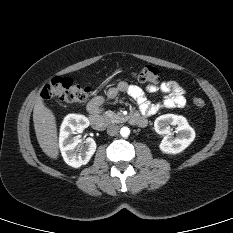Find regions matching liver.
<instances>
[{"instance_id": "1", "label": "liver", "mask_w": 233, "mask_h": 233, "mask_svg": "<svg viewBox=\"0 0 233 233\" xmlns=\"http://www.w3.org/2000/svg\"><path fill=\"white\" fill-rule=\"evenodd\" d=\"M33 122L37 141L42 151L52 159L59 155L56 120L53 112L37 96L33 109Z\"/></svg>"}]
</instances>
